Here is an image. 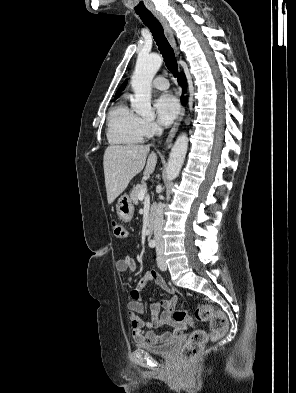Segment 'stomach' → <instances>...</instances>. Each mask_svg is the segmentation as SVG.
Instances as JSON below:
<instances>
[{"label": "stomach", "mask_w": 296, "mask_h": 393, "mask_svg": "<svg viewBox=\"0 0 296 393\" xmlns=\"http://www.w3.org/2000/svg\"><path fill=\"white\" fill-rule=\"evenodd\" d=\"M116 212L119 220L122 222H130L134 214V206L128 195H123L118 199L116 204Z\"/></svg>", "instance_id": "1"}]
</instances>
